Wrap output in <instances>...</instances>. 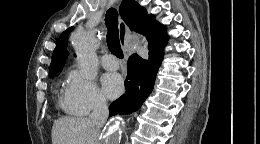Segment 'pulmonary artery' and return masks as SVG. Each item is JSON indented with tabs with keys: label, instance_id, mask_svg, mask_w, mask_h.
<instances>
[{
	"label": "pulmonary artery",
	"instance_id": "obj_1",
	"mask_svg": "<svg viewBox=\"0 0 260 144\" xmlns=\"http://www.w3.org/2000/svg\"><path fill=\"white\" fill-rule=\"evenodd\" d=\"M102 65L105 69L116 70L119 68L117 58L112 54H106L101 58Z\"/></svg>",
	"mask_w": 260,
	"mask_h": 144
}]
</instances>
